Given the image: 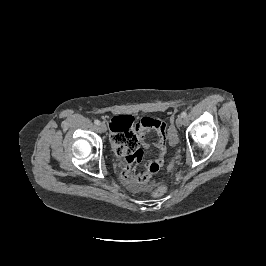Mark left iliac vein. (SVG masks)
I'll list each match as a JSON object with an SVG mask.
<instances>
[{
  "label": "left iliac vein",
  "instance_id": "left-iliac-vein-1",
  "mask_svg": "<svg viewBox=\"0 0 266 266\" xmlns=\"http://www.w3.org/2000/svg\"><path fill=\"white\" fill-rule=\"evenodd\" d=\"M184 124V118L182 116H178V118L176 119V125L178 127H181Z\"/></svg>",
  "mask_w": 266,
  "mask_h": 266
}]
</instances>
